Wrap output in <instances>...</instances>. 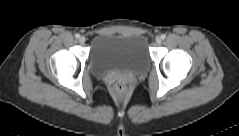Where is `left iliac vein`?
Returning a JSON list of instances; mask_svg holds the SVG:
<instances>
[{"instance_id": "1", "label": "left iliac vein", "mask_w": 239, "mask_h": 136, "mask_svg": "<svg viewBox=\"0 0 239 136\" xmlns=\"http://www.w3.org/2000/svg\"><path fill=\"white\" fill-rule=\"evenodd\" d=\"M161 38L159 37V36H157L156 38H155V43L157 44V45H159V44H161Z\"/></svg>"}]
</instances>
